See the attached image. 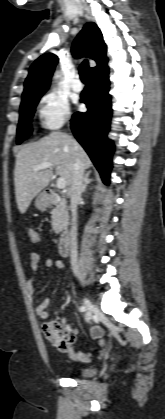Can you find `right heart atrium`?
<instances>
[{
  "label": "right heart atrium",
  "instance_id": "right-heart-atrium-1",
  "mask_svg": "<svg viewBox=\"0 0 165 419\" xmlns=\"http://www.w3.org/2000/svg\"><path fill=\"white\" fill-rule=\"evenodd\" d=\"M38 113L43 127L48 130L59 129L71 117L68 99L56 91H49L42 96Z\"/></svg>",
  "mask_w": 165,
  "mask_h": 419
}]
</instances>
